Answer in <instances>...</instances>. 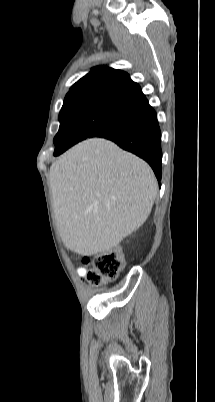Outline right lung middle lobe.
Returning <instances> with one entry per match:
<instances>
[{"instance_id":"1","label":"right lung middle lobe","mask_w":215,"mask_h":402,"mask_svg":"<svg viewBox=\"0 0 215 402\" xmlns=\"http://www.w3.org/2000/svg\"><path fill=\"white\" fill-rule=\"evenodd\" d=\"M145 107L108 94L66 96L54 138L58 156L74 144L91 137L111 135L126 126Z\"/></svg>"}]
</instances>
